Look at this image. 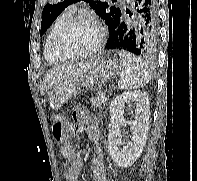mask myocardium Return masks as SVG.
I'll return each mask as SVG.
<instances>
[{
  "label": "myocardium",
  "instance_id": "f54148a6",
  "mask_svg": "<svg viewBox=\"0 0 197 181\" xmlns=\"http://www.w3.org/2000/svg\"><path fill=\"white\" fill-rule=\"evenodd\" d=\"M80 23H89L95 27V29L97 31V42H96L94 48L86 53L71 55V56L66 55L63 51V48H62L63 39H64L65 35L67 34V32L73 26L80 24ZM104 40H105L104 29L101 26V24L94 17L76 16V17L70 18L60 29V31L56 37V40H55V51H56L57 55L59 56V58L65 62L88 59V58L94 57L96 54L99 53V51L101 50V48L104 44Z\"/></svg>",
  "mask_w": 197,
  "mask_h": 181
}]
</instances>
